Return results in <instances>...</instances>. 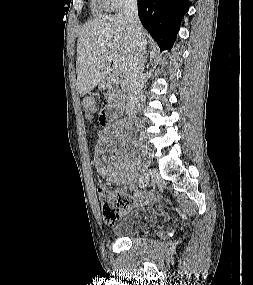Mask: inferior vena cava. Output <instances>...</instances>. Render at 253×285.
<instances>
[{
  "label": "inferior vena cava",
  "instance_id": "602c4592",
  "mask_svg": "<svg viewBox=\"0 0 253 285\" xmlns=\"http://www.w3.org/2000/svg\"><path fill=\"white\" fill-rule=\"evenodd\" d=\"M123 15L129 22L133 39L124 69L127 89L126 113L131 116L140 110L144 97L142 73L146 54V40L143 33L144 29L138 18L137 0H125Z\"/></svg>",
  "mask_w": 253,
  "mask_h": 285
}]
</instances>
